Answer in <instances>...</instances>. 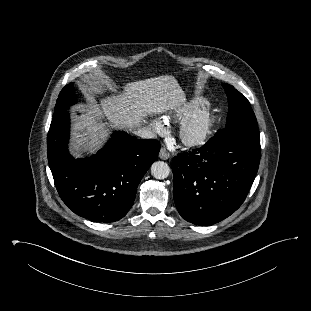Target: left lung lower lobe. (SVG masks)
I'll return each instance as SVG.
<instances>
[{
    "instance_id": "left-lung-lower-lobe-1",
    "label": "left lung lower lobe",
    "mask_w": 311,
    "mask_h": 311,
    "mask_svg": "<svg viewBox=\"0 0 311 311\" xmlns=\"http://www.w3.org/2000/svg\"><path fill=\"white\" fill-rule=\"evenodd\" d=\"M257 132L231 130L202 147L179 153L172 162L173 196L180 215L207 226L236 211L244 202L260 162Z\"/></svg>"
}]
</instances>
